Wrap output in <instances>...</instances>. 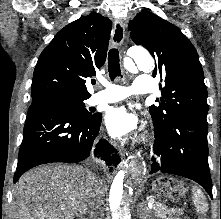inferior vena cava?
<instances>
[{
	"label": "inferior vena cava",
	"instance_id": "602c4592",
	"mask_svg": "<svg viewBox=\"0 0 221 219\" xmlns=\"http://www.w3.org/2000/svg\"><path fill=\"white\" fill-rule=\"evenodd\" d=\"M92 199L89 204V219H103V192L102 180L100 175H93Z\"/></svg>",
	"mask_w": 221,
	"mask_h": 219
}]
</instances>
